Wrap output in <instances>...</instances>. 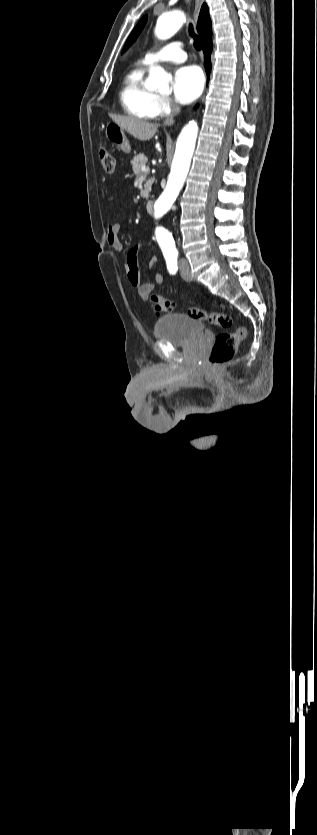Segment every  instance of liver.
Returning a JSON list of instances; mask_svg holds the SVG:
<instances>
[{"label": "liver", "instance_id": "liver-1", "mask_svg": "<svg viewBox=\"0 0 317 835\" xmlns=\"http://www.w3.org/2000/svg\"><path fill=\"white\" fill-rule=\"evenodd\" d=\"M112 120L140 141L150 140L156 133L158 124H152L137 118L110 116Z\"/></svg>", "mask_w": 317, "mask_h": 835}]
</instances>
